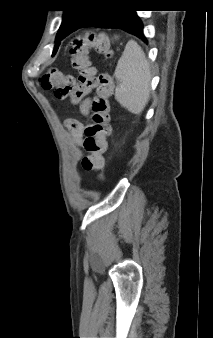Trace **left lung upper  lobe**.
<instances>
[{"label": "left lung upper lobe", "instance_id": "5c2ea615", "mask_svg": "<svg viewBox=\"0 0 213 338\" xmlns=\"http://www.w3.org/2000/svg\"><path fill=\"white\" fill-rule=\"evenodd\" d=\"M73 3H96L102 0H71ZM86 8L73 7L64 11L63 21L56 36V44L53 50V55L57 52L60 41L68 35L71 25L86 11Z\"/></svg>", "mask_w": 213, "mask_h": 338}]
</instances>
